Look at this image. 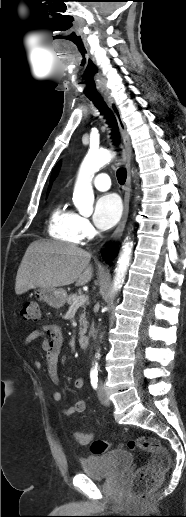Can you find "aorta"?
Here are the masks:
<instances>
[{
	"mask_svg": "<svg viewBox=\"0 0 186 517\" xmlns=\"http://www.w3.org/2000/svg\"><path fill=\"white\" fill-rule=\"evenodd\" d=\"M113 156L114 155L107 149L90 150L85 156L80 166L73 192V202L80 213H91L94 203V194L91 183L92 178L101 167L112 160ZM132 247L133 242L126 238L115 269L113 280L114 293L121 288L124 281L130 264ZM98 357L99 354L96 358ZM97 365L98 364L95 363V369H97Z\"/></svg>",
	"mask_w": 186,
	"mask_h": 517,
	"instance_id": "762f6f07",
	"label": "aorta"
}]
</instances>
